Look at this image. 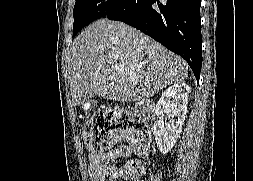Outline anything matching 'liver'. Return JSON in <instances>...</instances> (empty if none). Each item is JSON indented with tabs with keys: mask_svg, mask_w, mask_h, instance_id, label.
I'll use <instances>...</instances> for the list:
<instances>
[{
	"mask_svg": "<svg viewBox=\"0 0 253 181\" xmlns=\"http://www.w3.org/2000/svg\"><path fill=\"white\" fill-rule=\"evenodd\" d=\"M68 58L76 106L95 95L140 102L167 86L182 83L188 75V65L181 57L135 28L108 19L85 28L73 41ZM120 65L125 72L119 73Z\"/></svg>",
	"mask_w": 253,
	"mask_h": 181,
	"instance_id": "1",
	"label": "liver"
}]
</instances>
